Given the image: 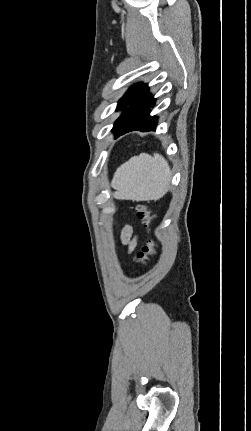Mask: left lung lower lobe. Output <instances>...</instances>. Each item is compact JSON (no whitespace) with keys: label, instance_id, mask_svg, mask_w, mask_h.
Here are the masks:
<instances>
[{"label":"left lung lower lobe","instance_id":"1","mask_svg":"<svg viewBox=\"0 0 251 431\" xmlns=\"http://www.w3.org/2000/svg\"><path fill=\"white\" fill-rule=\"evenodd\" d=\"M153 106L154 99L148 93V87L143 85L121 122L114 129L115 138L133 130L154 131L157 118L149 116L150 108Z\"/></svg>","mask_w":251,"mask_h":431}]
</instances>
